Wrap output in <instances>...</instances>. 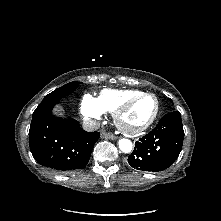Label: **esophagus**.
Masks as SVG:
<instances>
[{
	"label": "esophagus",
	"mask_w": 221,
	"mask_h": 221,
	"mask_svg": "<svg viewBox=\"0 0 221 221\" xmlns=\"http://www.w3.org/2000/svg\"><path fill=\"white\" fill-rule=\"evenodd\" d=\"M101 137L104 138V139H111V140L116 139L115 135H113L111 133H107V132H102Z\"/></svg>",
	"instance_id": "34e87169"
}]
</instances>
